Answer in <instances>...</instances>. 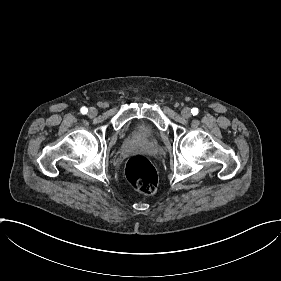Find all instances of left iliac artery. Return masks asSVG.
<instances>
[{
  "label": "left iliac artery",
  "instance_id": "1",
  "mask_svg": "<svg viewBox=\"0 0 281 281\" xmlns=\"http://www.w3.org/2000/svg\"><path fill=\"white\" fill-rule=\"evenodd\" d=\"M191 113L195 116L198 114V108H192Z\"/></svg>",
  "mask_w": 281,
  "mask_h": 281
}]
</instances>
